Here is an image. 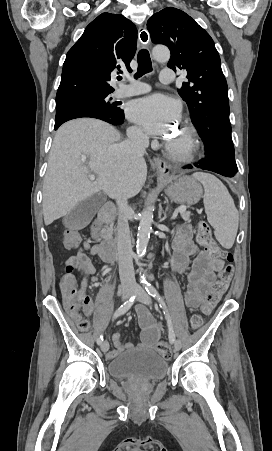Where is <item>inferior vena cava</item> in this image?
<instances>
[{
  "label": "inferior vena cava",
  "instance_id": "inferior-vena-cava-1",
  "mask_svg": "<svg viewBox=\"0 0 272 451\" xmlns=\"http://www.w3.org/2000/svg\"><path fill=\"white\" fill-rule=\"evenodd\" d=\"M128 142L117 144V160L123 168H127L136 158H142L145 148L149 146V138L141 130H132L127 134ZM118 206L117 245L119 257V275L122 285L135 287L136 279L132 259V245L130 239L127 210H129L126 196L115 198Z\"/></svg>",
  "mask_w": 272,
  "mask_h": 451
}]
</instances>
